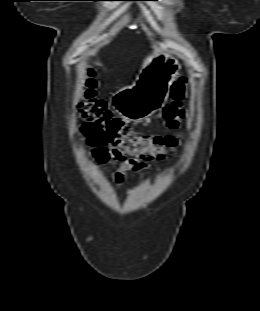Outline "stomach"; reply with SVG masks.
Instances as JSON below:
<instances>
[{"label": "stomach", "mask_w": 260, "mask_h": 311, "mask_svg": "<svg viewBox=\"0 0 260 311\" xmlns=\"http://www.w3.org/2000/svg\"><path fill=\"white\" fill-rule=\"evenodd\" d=\"M181 65L178 59L161 52L149 61L136 82L112 96L115 110L125 119L141 121L158 111L169 97L170 87Z\"/></svg>", "instance_id": "stomach-1"}]
</instances>
